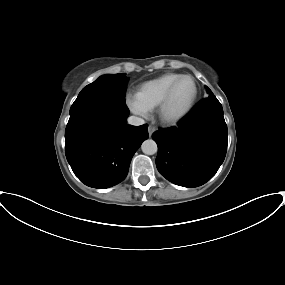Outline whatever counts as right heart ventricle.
<instances>
[{"mask_svg": "<svg viewBox=\"0 0 285 285\" xmlns=\"http://www.w3.org/2000/svg\"><path fill=\"white\" fill-rule=\"evenodd\" d=\"M179 76V73H166L142 83L137 88L134 100L146 111L153 110L160 103L168 87Z\"/></svg>", "mask_w": 285, "mask_h": 285, "instance_id": "e07e8e85", "label": "right heart ventricle"}]
</instances>
